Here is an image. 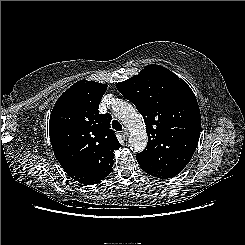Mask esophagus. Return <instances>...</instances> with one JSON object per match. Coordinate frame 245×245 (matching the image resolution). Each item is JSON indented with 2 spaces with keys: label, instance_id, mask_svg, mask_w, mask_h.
Segmentation results:
<instances>
[{
  "label": "esophagus",
  "instance_id": "34e87169",
  "mask_svg": "<svg viewBox=\"0 0 245 245\" xmlns=\"http://www.w3.org/2000/svg\"><path fill=\"white\" fill-rule=\"evenodd\" d=\"M122 135H123V137H124L125 139L128 137L129 132H128V130H127L126 128L122 131Z\"/></svg>",
  "mask_w": 245,
  "mask_h": 245
}]
</instances>
